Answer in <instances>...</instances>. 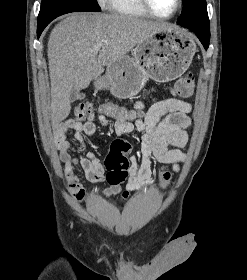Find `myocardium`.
Returning a JSON list of instances; mask_svg holds the SVG:
<instances>
[{
    "instance_id": "obj_1",
    "label": "myocardium",
    "mask_w": 247,
    "mask_h": 280,
    "mask_svg": "<svg viewBox=\"0 0 247 280\" xmlns=\"http://www.w3.org/2000/svg\"><path fill=\"white\" fill-rule=\"evenodd\" d=\"M141 6L143 7V9L148 13V15L156 18V19H161V20H169L172 19L173 17H175L177 15V13L179 12V10L181 9L182 6V0H176V7L175 9L172 11V13H170L169 15L166 16H162L157 14L153 8L151 7L149 0H139Z\"/></svg>"
}]
</instances>
